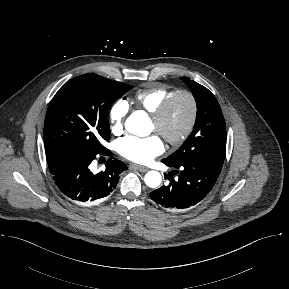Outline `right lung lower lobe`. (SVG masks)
I'll return each instance as SVG.
<instances>
[{
  "label": "right lung lower lobe",
  "mask_w": 289,
  "mask_h": 289,
  "mask_svg": "<svg viewBox=\"0 0 289 289\" xmlns=\"http://www.w3.org/2000/svg\"><path fill=\"white\" fill-rule=\"evenodd\" d=\"M101 155H111V152H66L47 160L58 188L73 202L90 203L104 199L113 192L119 175L127 169L122 161L109 158L105 169L92 172L93 161Z\"/></svg>",
  "instance_id": "1"
}]
</instances>
